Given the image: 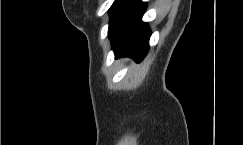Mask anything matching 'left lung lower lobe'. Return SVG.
<instances>
[{"mask_svg": "<svg viewBox=\"0 0 243 145\" xmlns=\"http://www.w3.org/2000/svg\"><path fill=\"white\" fill-rule=\"evenodd\" d=\"M146 3L130 0L109 28V38L116 57L128 56L141 61L149 48L151 31L142 22Z\"/></svg>", "mask_w": 243, "mask_h": 145, "instance_id": "left-lung-lower-lobe-1", "label": "left lung lower lobe"}]
</instances>
